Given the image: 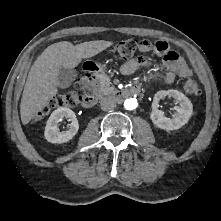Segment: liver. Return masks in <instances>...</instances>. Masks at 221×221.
Wrapping results in <instances>:
<instances>
[{
  "mask_svg": "<svg viewBox=\"0 0 221 221\" xmlns=\"http://www.w3.org/2000/svg\"><path fill=\"white\" fill-rule=\"evenodd\" d=\"M113 44L96 40L77 44L61 41L48 46L32 65L21 99L20 116L28 124L57 94L58 72L61 66L72 69L82 59L91 58Z\"/></svg>",
  "mask_w": 221,
  "mask_h": 221,
  "instance_id": "1",
  "label": "liver"
}]
</instances>
